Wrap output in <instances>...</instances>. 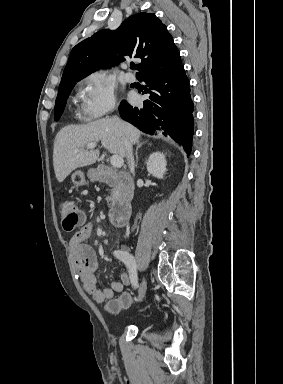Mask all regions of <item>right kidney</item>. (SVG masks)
Returning <instances> with one entry per match:
<instances>
[{
	"mask_svg": "<svg viewBox=\"0 0 283 384\" xmlns=\"http://www.w3.org/2000/svg\"><path fill=\"white\" fill-rule=\"evenodd\" d=\"M166 166L167 162L162 152H154V154H150L147 162V172H149V174L162 180L166 172Z\"/></svg>",
	"mask_w": 283,
	"mask_h": 384,
	"instance_id": "1",
	"label": "right kidney"
}]
</instances>
